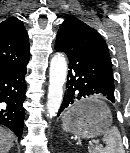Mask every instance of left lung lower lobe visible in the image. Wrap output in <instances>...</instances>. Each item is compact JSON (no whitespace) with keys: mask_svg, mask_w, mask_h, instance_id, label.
<instances>
[{"mask_svg":"<svg viewBox=\"0 0 130 153\" xmlns=\"http://www.w3.org/2000/svg\"><path fill=\"white\" fill-rule=\"evenodd\" d=\"M55 50L65 52L69 58L67 90L58 116L81 97L100 95L115 102L112 68L94 51L61 34H57Z\"/></svg>","mask_w":130,"mask_h":153,"instance_id":"1","label":"left lung lower lobe"}]
</instances>
